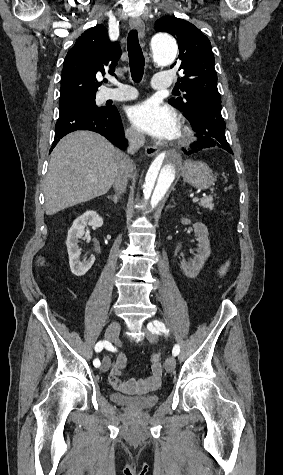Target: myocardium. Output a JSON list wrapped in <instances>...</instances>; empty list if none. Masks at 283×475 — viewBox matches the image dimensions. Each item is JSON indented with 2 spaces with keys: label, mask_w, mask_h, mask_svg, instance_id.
I'll return each mask as SVG.
<instances>
[{
  "label": "myocardium",
  "mask_w": 283,
  "mask_h": 475,
  "mask_svg": "<svg viewBox=\"0 0 283 475\" xmlns=\"http://www.w3.org/2000/svg\"><path fill=\"white\" fill-rule=\"evenodd\" d=\"M179 146L183 147L188 144L191 136V131L183 121L179 128Z\"/></svg>",
  "instance_id": "1"
}]
</instances>
